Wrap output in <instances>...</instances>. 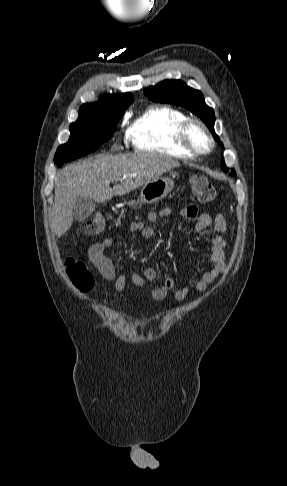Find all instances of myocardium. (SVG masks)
<instances>
[{
    "instance_id": "1",
    "label": "myocardium",
    "mask_w": 287,
    "mask_h": 486,
    "mask_svg": "<svg viewBox=\"0 0 287 486\" xmlns=\"http://www.w3.org/2000/svg\"><path fill=\"white\" fill-rule=\"evenodd\" d=\"M193 128H198L208 140V147L206 149H200L193 144L190 136ZM178 139L181 146L194 156L206 155L210 153L215 146V141L206 125L201 120L196 118H187L181 124L178 131Z\"/></svg>"
}]
</instances>
